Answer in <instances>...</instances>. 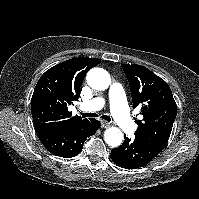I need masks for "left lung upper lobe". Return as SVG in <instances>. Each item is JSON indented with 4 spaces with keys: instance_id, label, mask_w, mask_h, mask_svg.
Masks as SVG:
<instances>
[{
    "instance_id": "obj_1",
    "label": "left lung upper lobe",
    "mask_w": 199,
    "mask_h": 199,
    "mask_svg": "<svg viewBox=\"0 0 199 199\" xmlns=\"http://www.w3.org/2000/svg\"><path fill=\"white\" fill-rule=\"evenodd\" d=\"M129 82L134 108L141 106L142 121H135V137L162 151L171 134L177 105L168 84L141 65H121Z\"/></svg>"
}]
</instances>
